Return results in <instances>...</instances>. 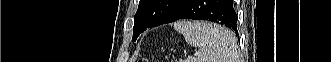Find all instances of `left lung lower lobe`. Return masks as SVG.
<instances>
[{
  "label": "left lung lower lobe",
  "instance_id": "0a47b994",
  "mask_svg": "<svg viewBox=\"0 0 331 62\" xmlns=\"http://www.w3.org/2000/svg\"><path fill=\"white\" fill-rule=\"evenodd\" d=\"M208 20L227 26L238 35L233 0H184L165 23L179 19ZM150 26H139L133 40Z\"/></svg>",
  "mask_w": 331,
  "mask_h": 62
}]
</instances>
